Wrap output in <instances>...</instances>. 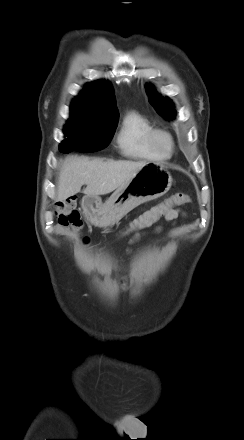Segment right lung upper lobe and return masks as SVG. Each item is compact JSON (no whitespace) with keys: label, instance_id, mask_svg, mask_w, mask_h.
Returning <instances> with one entry per match:
<instances>
[{"label":"right lung upper lobe","instance_id":"1","mask_svg":"<svg viewBox=\"0 0 244 440\" xmlns=\"http://www.w3.org/2000/svg\"><path fill=\"white\" fill-rule=\"evenodd\" d=\"M119 112L113 89L108 82H93L71 105L69 121L108 125L118 122Z\"/></svg>","mask_w":244,"mask_h":440}]
</instances>
